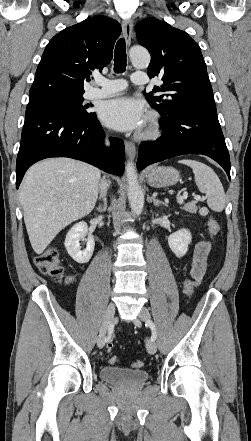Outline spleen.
I'll list each match as a JSON object with an SVG mask.
<instances>
[{
    "instance_id": "3e777b00",
    "label": "spleen",
    "mask_w": 251,
    "mask_h": 441,
    "mask_svg": "<svg viewBox=\"0 0 251 441\" xmlns=\"http://www.w3.org/2000/svg\"><path fill=\"white\" fill-rule=\"evenodd\" d=\"M178 163L192 168L199 191L207 195L208 207L216 212L223 211L226 203L225 192L214 170L208 165L192 159H182Z\"/></svg>"
}]
</instances>
